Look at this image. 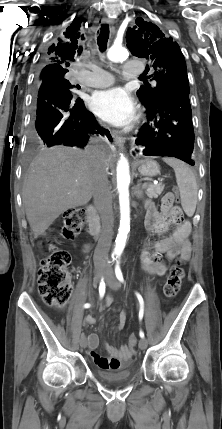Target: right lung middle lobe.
<instances>
[{
	"label": "right lung middle lobe",
	"mask_w": 222,
	"mask_h": 429,
	"mask_svg": "<svg viewBox=\"0 0 222 429\" xmlns=\"http://www.w3.org/2000/svg\"><path fill=\"white\" fill-rule=\"evenodd\" d=\"M45 78H49L50 80H53L56 83L65 86L69 90L72 88V85L70 84V82L67 79H65V75H63V74H61V75H40L39 82H41Z\"/></svg>",
	"instance_id": "right-lung-middle-lobe-1"
}]
</instances>
